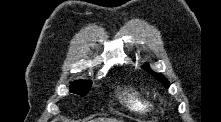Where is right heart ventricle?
Listing matches in <instances>:
<instances>
[{
    "label": "right heart ventricle",
    "instance_id": "1",
    "mask_svg": "<svg viewBox=\"0 0 221 122\" xmlns=\"http://www.w3.org/2000/svg\"><path fill=\"white\" fill-rule=\"evenodd\" d=\"M120 98L125 106L137 113H150L156 108L149 92L133 86H125L120 92Z\"/></svg>",
    "mask_w": 221,
    "mask_h": 122
}]
</instances>
